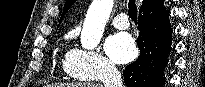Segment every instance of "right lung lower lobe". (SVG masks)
<instances>
[{"label":"right lung lower lobe","mask_w":205,"mask_h":87,"mask_svg":"<svg viewBox=\"0 0 205 87\" xmlns=\"http://www.w3.org/2000/svg\"><path fill=\"white\" fill-rule=\"evenodd\" d=\"M164 0H155L139 11L137 39L140 55L124 70L127 87H163L164 68L171 51L172 27L169 13L162 6Z\"/></svg>","instance_id":"98d812e1"}]
</instances>
